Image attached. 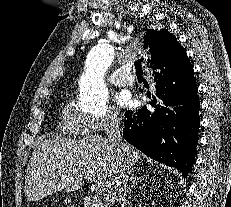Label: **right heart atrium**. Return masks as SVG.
<instances>
[{
	"mask_svg": "<svg viewBox=\"0 0 231 207\" xmlns=\"http://www.w3.org/2000/svg\"><path fill=\"white\" fill-rule=\"evenodd\" d=\"M87 119L89 131L94 133L113 129L120 122L119 113L113 108H109L104 114L89 116Z\"/></svg>",
	"mask_w": 231,
	"mask_h": 207,
	"instance_id": "d8ad5b80",
	"label": "right heart atrium"
}]
</instances>
